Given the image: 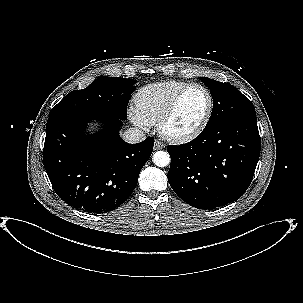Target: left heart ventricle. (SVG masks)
<instances>
[{"label": "left heart ventricle", "instance_id": "1", "mask_svg": "<svg viewBox=\"0 0 303 303\" xmlns=\"http://www.w3.org/2000/svg\"><path fill=\"white\" fill-rule=\"evenodd\" d=\"M208 106L205 92L200 88L189 90L183 97L174 116L168 122L167 131L181 134L192 130L198 125Z\"/></svg>", "mask_w": 303, "mask_h": 303}]
</instances>
